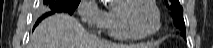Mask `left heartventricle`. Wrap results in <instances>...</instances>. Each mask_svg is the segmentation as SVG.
Listing matches in <instances>:
<instances>
[{
  "label": "left heart ventricle",
  "mask_w": 213,
  "mask_h": 48,
  "mask_svg": "<svg viewBox=\"0 0 213 48\" xmlns=\"http://www.w3.org/2000/svg\"><path fill=\"white\" fill-rule=\"evenodd\" d=\"M128 15L135 28L142 33L152 32L156 28L155 11L144 1L136 2Z\"/></svg>",
  "instance_id": "obj_1"
}]
</instances>
